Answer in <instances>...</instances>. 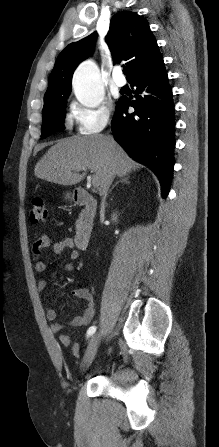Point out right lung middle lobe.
<instances>
[{
  "label": "right lung middle lobe",
  "mask_w": 219,
  "mask_h": 447,
  "mask_svg": "<svg viewBox=\"0 0 219 447\" xmlns=\"http://www.w3.org/2000/svg\"><path fill=\"white\" fill-rule=\"evenodd\" d=\"M69 94L58 95L44 100L42 111L43 123L41 137L45 138L52 132L64 129L66 98Z\"/></svg>",
  "instance_id": "dd1d6c3e"
}]
</instances>
